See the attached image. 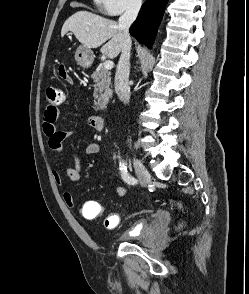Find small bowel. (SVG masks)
I'll use <instances>...</instances> for the list:
<instances>
[{
    "label": "small bowel",
    "mask_w": 249,
    "mask_h": 294,
    "mask_svg": "<svg viewBox=\"0 0 249 294\" xmlns=\"http://www.w3.org/2000/svg\"><path fill=\"white\" fill-rule=\"evenodd\" d=\"M60 75V74H59ZM60 77L68 83H72V78L66 74ZM59 116V110L57 106H47L42 114V129L44 135L47 138L48 148L51 153L55 157H59L63 151V143L66 139L71 137L75 131H62L57 128V120ZM88 125H91L90 118L88 119ZM100 150V145L96 141L88 142L84 147V152L87 155H94L97 154ZM74 161V166H63V172L66 177L73 183H78L81 180V162L78 155L71 156ZM51 175L53 180L56 184L62 185L63 184V176L60 170L53 168L51 170ZM116 194L123 198L126 196L127 191L123 186H116L115 187ZM63 200L65 204L71 208L75 209L77 207L76 201L73 195L69 192L63 193ZM100 204L96 201H86L81 209L80 214L83 218L91 220L96 219L101 216L100 213L97 212V208ZM164 215L163 211H157L156 216ZM120 217L118 214H109L104 218V226L107 229H115L118 226Z\"/></svg>",
    "instance_id": "obj_1"
}]
</instances>
